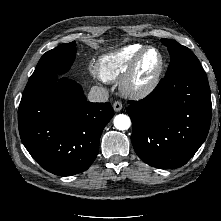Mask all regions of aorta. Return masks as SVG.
Listing matches in <instances>:
<instances>
[{"mask_svg":"<svg viewBox=\"0 0 221 221\" xmlns=\"http://www.w3.org/2000/svg\"><path fill=\"white\" fill-rule=\"evenodd\" d=\"M113 122H114L115 128L121 131L129 129L131 126V120L129 116L125 114H119L115 116Z\"/></svg>","mask_w":221,"mask_h":221,"instance_id":"aorta-1","label":"aorta"}]
</instances>
